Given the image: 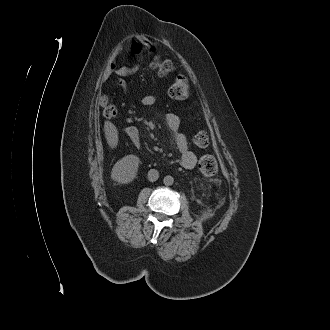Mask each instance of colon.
<instances>
[{
  "mask_svg": "<svg viewBox=\"0 0 330 330\" xmlns=\"http://www.w3.org/2000/svg\"><path fill=\"white\" fill-rule=\"evenodd\" d=\"M150 66L155 69L162 77L168 76L174 70V65L169 60H160L154 57ZM170 95L175 99H186L190 95V86L185 77H179L175 80L170 88ZM101 104L104 108L103 113L107 118H113L117 114L115 105L107 98H101ZM195 143L200 147H205L209 143V136L205 132H199L195 136ZM199 169L202 174L212 176L217 172V162L214 157L210 155L203 156L199 160Z\"/></svg>",
  "mask_w": 330,
  "mask_h": 330,
  "instance_id": "1",
  "label": "colon"
}]
</instances>
